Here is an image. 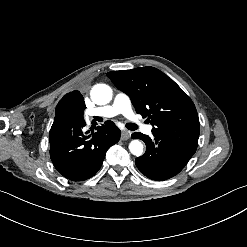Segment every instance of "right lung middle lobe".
Listing matches in <instances>:
<instances>
[{"mask_svg":"<svg viewBox=\"0 0 247 247\" xmlns=\"http://www.w3.org/2000/svg\"><path fill=\"white\" fill-rule=\"evenodd\" d=\"M85 108L83 96L79 91L66 94L56 106V116L51 130L64 129L83 123Z\"/></svg>","mask_w":247,"mask_h":247,"instance_id":"right-lung-middle-lobe-1","label":"right lung middle lobe"}]
</instances>
